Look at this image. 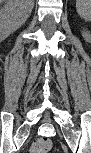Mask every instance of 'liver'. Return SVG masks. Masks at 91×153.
I'll list each match as a JSON object with an SVG mask.
<instances>
[{
	"mask_svg": "<svg viewBox=\"0 0 91 153\" xmlns=\"http://www.w3.org/2000/svg\"><path fill=\"white\" fill-rule=\"evenodd\" d=\"M26 2V4H28V5H30L32 8H33V5H34V2H33V0H25Z\"/></svg>",
	"mask_w": 91,
	"mask_h": 153,
	"instance_id": "obj_1",
	"label": "liver"
}]
</instances>
